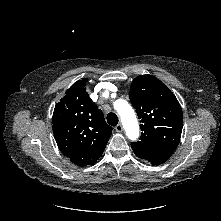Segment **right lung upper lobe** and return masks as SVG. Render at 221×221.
<instances>
[{
    "mask_svg": "<svg viewBox=\"0 0 221 221\" xmlns=\"http://www.w3.org/2000/svg\"><path fill=\"white\" fill-rule=\"evenodd\" d=\"M86 79L75 82L56 104L52 123L59 149L77 166L95 163L111 136L103 112L89 98Z\"/></svg>",
    "mask_w": 221,
    "mask_h": 221,
    "instance_id": "right-lung-upper-lobe-1",
    "label": "right lung upper lobe"
}]
</instances>
